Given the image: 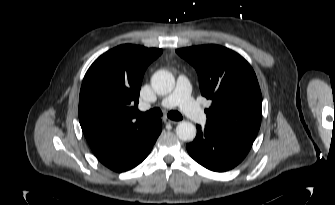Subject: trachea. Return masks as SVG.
<instances>
[{"label": "trachea", "instance_id": "obj_1", "mask_svg": "<svg viewBox=\"0 0 335 205\" xmlns=\"http://www.w3.org/2000/svg\"><path fill=\"white\" fill-rule=\"evenodd\" d=\"M144 115L148 116V117H160V116H162V112H161L160 109L154 108V109H151V110L145 112ZM167 116L170 119L175 120V121H179V120L183 119L182 115L178 111H170L167 114Z\"/></svg>", "mask_w": 335, "mask_h": 205}]
</instances>
